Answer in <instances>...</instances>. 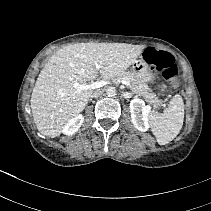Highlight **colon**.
<instances>
[{
	"instance_id": "5ec220e1",
	"label": "colon",
	"mask_w": 211,
	"mask_h": 211,
	"mask_svg": "<svg viewBox=\"0 0 211 211\" xmlns=\"http://www.w3.org/2000/svg\"><path fill=\"white\" fill-rule=\"evenodd\" d=\"M144 58L152 67L162 73L171 86H177V76L179 70L171 54L155 48H148L144 52Z\"/></svg>"
}]
</instances>
